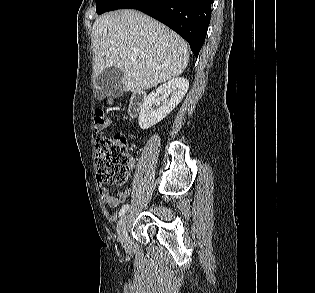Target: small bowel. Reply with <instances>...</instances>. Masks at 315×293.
<instances>
[{
    "instance_id": "small-bowel-1",
    "label": "small bowel",
    "mask_w": 315,
    "mask_h": 293,
    "mask_svg": "<svg viewBox=\"0 0 315 293\" xmlns=\"http://www.w3.org/2000/svg\"><path fill=\"white\" fill-rule=\"evenodd\" d=\"M133 165V161H130V166ZM100 197L102 201L107 204L109 207L116 208L118 207L121 203H123L127 196L129 195L128 190L124 191H118L117 193L111 192V190L104 186L103 184L99 183L98 186Z\"/></svg>"
}]
</instances>
